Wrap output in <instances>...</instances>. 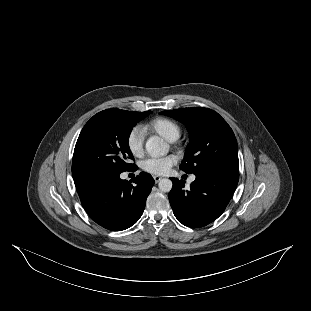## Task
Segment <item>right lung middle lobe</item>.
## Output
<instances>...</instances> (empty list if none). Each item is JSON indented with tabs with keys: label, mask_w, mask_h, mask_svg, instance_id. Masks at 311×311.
I'll return each instance as SVG.
<instances>
[{
	"label": "right lung middle lobe",
	"mask_w": 311,
	"mask_h": 311,
	"mask_svg": "<svg viewBox=\"0 0 311 311\" xmlns=\"http://www.w3.org/2000/svg\"><path fill=\"white\" fill-rule=\"evenodd\" d=\"M151 111L107 109L94 115L83 127L72 159L73 179L89 173L120 174L137 168L128 140L132 127Z\"/></svg>",
	"instance_id": "obj_1"
}]
</instances>
